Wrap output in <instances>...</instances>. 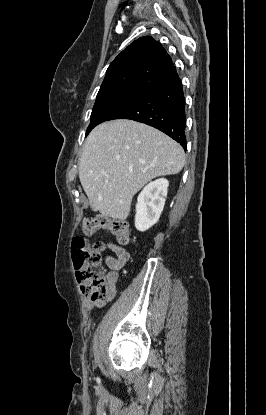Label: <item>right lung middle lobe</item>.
I'll return each instance as SVG.
<instances>
[{"instance_id":"right-lung-middle-lobe-1","label":"right lung middle lobe","mask_w":266,"mask_h":415,"mask_svg":"<svg viewBox=\"0 0 266 415\" xmlns=\"http://www.w3.org/2000/svg\"><path fill=\"white\" fill-rule=\"evenodd\" d=\"M148 94L149 92L133 89H117L98 93L86 135L98 124L109 120L112 115L138 102Z\"/></svg>"}]
</instances>
